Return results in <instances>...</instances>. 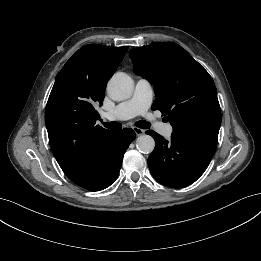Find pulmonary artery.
<instances>
[{"mask_svg":"<svg viewBox=\"0 0 261 261\" xmlns=\"http://www.w3.org/2000/svg\"><path fill=\"white\" fill-rule=\"evenodd\" d=\"M152 101L153 87L151 83L145 78H139L132 96L128 100L117 104L112 110L104 113L103 117L110 121L127 120L138 115H147L149 118H152L150 114H147ZM155 127L166 137L170 136L173 130L170 124L160 122H156Z\"/></svg>","mask_w":261,"mask_h":261,"instance_id":"obj_1","label":"pulmonary artery"}]
</instances>
